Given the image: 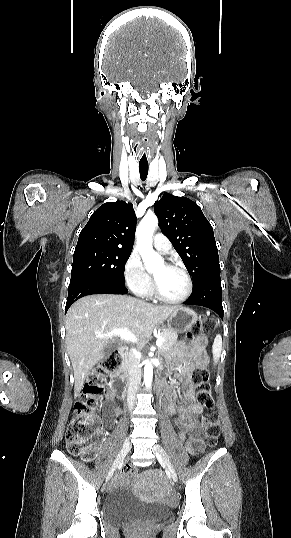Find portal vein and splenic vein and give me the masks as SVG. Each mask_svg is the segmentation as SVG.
Listing matches in <instances>:
<instances>
[{
	"label": "portal vein and splenic vein",
	"instance_id": "1",
	"mask_svg": "<svg viewBox=\"0 0 291 538\" xmlns=\"http://www.w3.org/2000/svg\"><path fill=\"white\" fill-rule=\"evenodd\" d=\"M98 337H120L126 341L137 343L138 339L126 328L114 329L108 333H99L96 332ZM165 339L162 336H157L156 345L158 347L162 346Z\"/></svg>",
	"mask_w": 291,
	"mask_h": 538
}]
</instances>
